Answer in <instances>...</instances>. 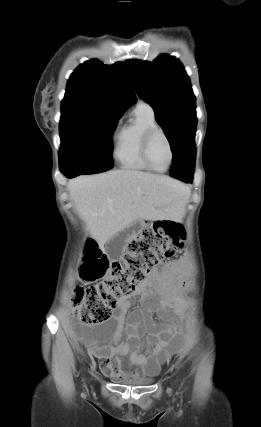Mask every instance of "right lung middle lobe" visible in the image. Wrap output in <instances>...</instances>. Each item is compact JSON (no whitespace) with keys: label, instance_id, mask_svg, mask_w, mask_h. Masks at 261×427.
<instances>
[{"label":"right lung middle lobe","instance_id":"1","mask_svg":"<svg viewBox=\"0 0 261 427\" xmlns=\"http://www.w3.org/2000/svg\"><path fill=\"white\" fill-rule=\"evenodd\" d=\"M119 117L89 110L61 113L60 171L93 174L110 170L112 134Z\"/></svg>","mask_w":261,"mask_h":427}]
</instances>
